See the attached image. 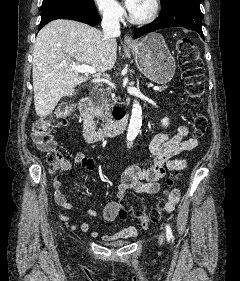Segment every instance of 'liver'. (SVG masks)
<instances>
[{
	"instance_id": "1",
	"label": "liver",
	"mask_w": 240,
	"mask_h": 281,
	"mask_svg": "<svg viewBox=\"0 0 240 281\" xmlns=\"http://www.w3.org/2000/svg\"><path fill=\"white\" fill-rule=\"evenodd\" d=\"M117 58L116 41L84 23L58 19L43 27L33 50V89L36 114L49 115L66 92L88 80L71 64L88 65L99 73L111 70Z\"/></svg>"
}]
</instances>
